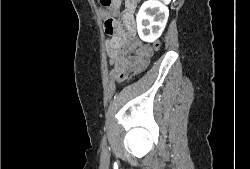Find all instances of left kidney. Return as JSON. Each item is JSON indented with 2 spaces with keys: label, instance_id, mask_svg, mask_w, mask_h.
I'll return each mask as SVG.
<instances>
[{
  "label": "left kidney",
  "instance_id": "5707ae66",
  "mask_svg": "<svg viewBox=\"0 0 250 169\" xmlns=\"http://www.w3.org/2000/svg\"><path fill=\"white\" fill-rule=\"evenodd\" d=\"M169 16V8L160 0H145L137 12L136 22L140 38L153 42L161 36Z\"/></svg>",
  "mask_w": 250,
  "mask_h": 169
}]
</instances>
